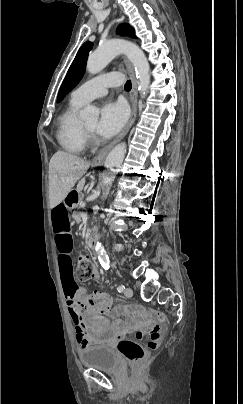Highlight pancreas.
Returning a JSON list of instances; mask_svg holds the SVG:
<instances>
[{
    "instance_id": "pancreas-1",
    "label": "pancreas",
    "mask_w": 243,
    "mask_h": 404,
    "mask_svg": "<svg viewBox=\"0 0 243 404\" xmlns=\"http://www.w3.org/2000/svg\"><path fill=\"white\" fill-rule=\"evenodd\" d=\"M73 217H74V221H75L76 224L82 223V220H79L80 216H79L78 213H74Z\"/></svg>"
}]
</instances>
